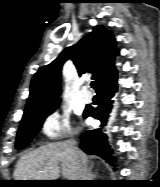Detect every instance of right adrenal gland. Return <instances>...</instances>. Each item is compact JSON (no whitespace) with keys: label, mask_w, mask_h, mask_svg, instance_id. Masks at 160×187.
I'll return each instance as SVG.
<instances>
[{"label":"right adrenal gland","mask_w":160,"mask_h":187,"mask_svg":"<svg viewBox=\"0 0 160 187\" xmlns=\"http://www.w3.org/2000/svg\"><path fill=\"white\" fill-rule=\"evenodd\" d=\"M92 168H93V165H91L90 168L88 169V175H89L90 180H94V178L96 177V174L92 173Z\"/></svg>","instance_id":"2a0ac1e0"}]
</instances>
